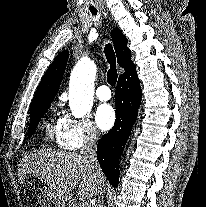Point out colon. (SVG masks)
<instances>
[{"mask_svg":"<svg viewBox=\"0 0 206 207\" xmlns=\"http://www.w3.org/2000/svg\"><path fill=\"white\" fill-rule=\"evenodd\" d=\"M36 207H46V206L43 204H38Z\"/></svg>","mask_w":206,"mask_h":207,"instance_id":"5ec220e1","label":"colon"}]
</instances>
